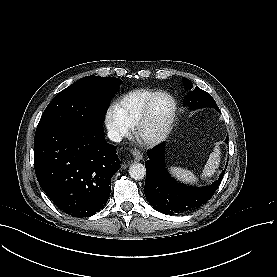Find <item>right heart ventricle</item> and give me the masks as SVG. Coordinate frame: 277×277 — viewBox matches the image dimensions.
<instances>
[{"instance_id": "obj_1", "label": "right heart ventricle", "mask_w": 277, "mask_h": 277, "mask_svg": "<svg viewBox=\"0 0 277 277\" xmlns=\"http://www.w3.org/2000/svg\"><path fill=\"white\" fill-rule=\"evenodd\" d=\"M152 94L153 92L151 90L138 89L131 91L117 101L115 107L130 127L137 124Z\"/></svg>"}]
</instances>
